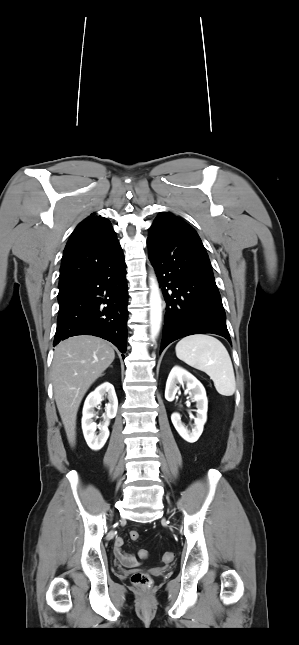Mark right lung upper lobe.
<instances>
[{
    "label": "right lung upper lobe",
    "mask_w": 299,
    "mask_h": 645,
    "mask_svg": "<svg viewBox=\"0 0 299 645\" xmlns=\"http://www.w3.org/2000/svg\"><path fill=\"white\" fill-rule=\"evenodd\" d=\"M123 257L121 246L111 224L91 214L71 234L63 252L59 291L83 275L112 264Z\"/></svg>",
    "instance_id": "obj_1"
}]
</instances>
